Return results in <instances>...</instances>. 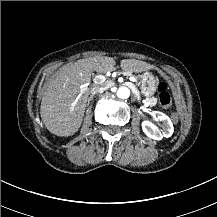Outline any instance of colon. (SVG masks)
Segmentation results:
<instances>
[{"label":"colon","instance_id":"1","mask_svg":"<svg viewBox=\"0 0 217 217\" xmlns=\"http://www.w3.org/2000/svg\"><path fill=\"white\" fill-rule=\"evenodd\" d=\"M159 103L163 108L169 109L172 105V99L168 90V86L164 81H161L157 86ZM174 121L178 123L180 119L175 116Z\"/></svg>","mask_w":217,"mask_h":217}]
</instances>
